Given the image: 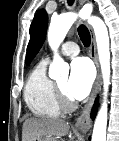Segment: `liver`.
Listing matches in <instances>:
<instances>
[{
  "label": "liver",
  "instance_id": "1",
  "mask_svg": "<svg viewBox=\"0 0 119 141\" xmlns=\"http://www.w3.org/2000/svg\"><path fill=\"white\" fill-rule=\"evenodd\" d=\"M69 128V124L63 120L28 118L23 123L22 141L42 137L59 138L65 136Z\"/></svg>",
  "mask_w": 119,
  "mask_h": 141
}]
</instances>
